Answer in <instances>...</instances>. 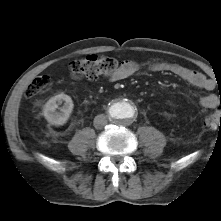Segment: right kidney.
Listing matches in <instances>:
<instances>
[{"label": "right kidney", "instance_id": "ca27d5eb", "mask_svg": "<svg viewBox=\"0 0 221 221\" xmlns=\"http://www.w3.org/2000/svg\"><path fill=\"white\" fill-rule=\"evenodd\" d=\"M64 102L60 111H57L59 105ZM74 108L72 98L64 93L58 94L50 98L44 106L43 114L45 119L52 125H64Z\"/></svg>", "mask_w": 221, "mask_h": 221}]
</instances>
